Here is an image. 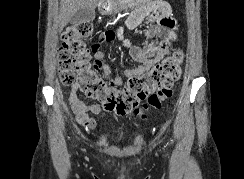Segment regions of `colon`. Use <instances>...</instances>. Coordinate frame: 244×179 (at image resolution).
I'll list each match as a JSON object with an SVG mask.
<instances>
[{"label": "colon", "instance_id": "obj_1", "mask_svg": "<svg viewBox=\"0 0 244 179\" xmlns=\"http://www.w3.org/2000/svg\"><path fill=\"white\" fill-rule=\"evenodd\" d=\"M93 25L84 22L66 28L61 36L60 79L63 84L76 86L89 98L104 104L106 111L125 115L133 112L140 118H147L150 112L159 110L171 98L174 83L182 72L183 53L176 50L152 69L128 77L121 89L110 87L99 75L86 39L93 33ZM143 93H150L146 106H137ZM87 124L91 125L90 120Z\"/></svg>", "mask_w": 244, "mask_h": 179}]
</instances>
